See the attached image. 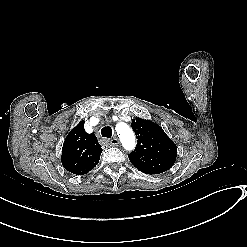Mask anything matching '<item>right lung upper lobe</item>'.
Instances as JSON below:
<instances>
[{
	"instance_id": "cb5924a9",
	"label": "right lung upper lobe",
	"mask_w": 247,
	"mask_h": 247,
	"mask_svg": "<svg viewBox=\"0 0 247 247\" xmlns=\"http://www.w3.org/2000/svg\"><path fill=\"white\" fill-rule=\"evenodd\" d=\"M84 123L81 121L70 131L62 147V165L76 175H84L93 169L102 152L96 136L85 132Z\"/></svg>"
}]
</instances>
